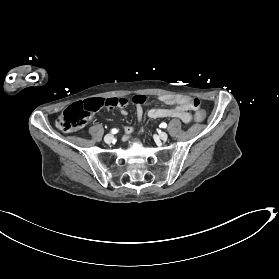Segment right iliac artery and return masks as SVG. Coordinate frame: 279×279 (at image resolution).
Returning a JSON list of instances; mask_svg holds the SVG:
<instances>
[{
	"instance_id": "1",
	"label": "right iliac artery",
	"mask_w": 279,
	"mask_h": 279,
	"mask_svg": "<svg viewBox=\"0 0 279 279\" xmlns=\"http://www.w3.org/2000/svg\"><path fill=\"white\" fill-rule=\"evenodd\" d=\"M117 132H118L117 129H112V131H111L112 134H116Z\"/></svg>"
}]
</instances>
